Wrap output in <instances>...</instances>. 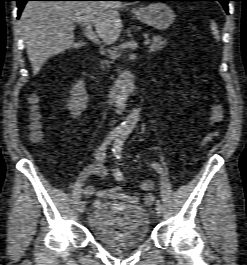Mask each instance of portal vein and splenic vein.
Wrapping results in <instances>:
<instances>
[{
  "label": "portal vein and splenic vein",
  "mask_w": 247,
  "mask_h": 265,
  "mask_svg": "<svg viewBox=\"0 0 247 265\" xmlns=\"http://www.w3.org/2000/svg\"><path fill=\"white\" fill-rule=\"evenodd\" d=\"M71 23H73V22H71ZM85 36H86L88 39H90L91 41H93L94 43H96V44H101V43L99 42L98 37H97L96 34L93 32V30H92V26H91L90 23H87V24L85 25ZM144 44L147 46V45L150 44V41H149V40H146Z\"/></svg>",
  "instance_id": "18ae733b"
}]
</instances>
